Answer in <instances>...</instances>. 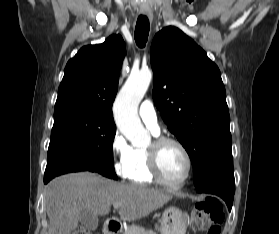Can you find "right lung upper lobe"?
<instances>
[{
    "label": "right lung upper lobe",
    "mask_w": 279,
    "mask_h": 234,
    "mask_svg": "<svg viewBox=\"0 0 279 234\" xmlns=\"http://www.w3.org/2000/svg\"><path fill=\"white\" fill-rule=\"evenodd\" d=\"M124 56L120 35L82 47L65 67L54 113L78 111L114 120L111 110Z\"/></svg>",
    "instance_id": "right-lung-upper-lobe-1"
}]
</instances>
